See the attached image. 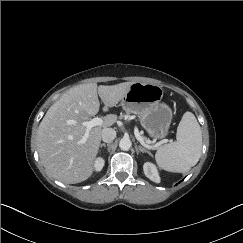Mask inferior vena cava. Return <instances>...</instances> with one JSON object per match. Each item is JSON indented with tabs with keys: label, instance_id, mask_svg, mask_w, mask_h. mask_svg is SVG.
<instances>
[{
	"label": "inferior vena cava",
	"instance_id": "602c4592",
	"mask_svg": "<svg viewBox=\"0 0 243 243\" xmlns=\"http://www.w3.org/2000/svg\"><path fill=\"white\" fill-rule=\"evenodd\" d=\"M101 137L104 142L110 143L116 138V131L112 128H105L102 130Z\"/></svg>",
	"mask_w": 243,
	"mask_h": 243
}]
</instances>
